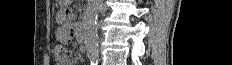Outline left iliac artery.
<instances>
[{
    "label": "left iliac artery",
    "instance_id": "1",
    "mask_svg": "<svg viewBox=\"0 0 232 65\" xmlns=\"http://www.w3.org/2000/svg\"><path fill=\"white\" fill-rule=\"evenodd\" d=\"M91 65H98V58L96 56H93L90 58Z\"/></svg>",
    "mask_w": 232,
    "mask_h": 65
}]
</instances>
